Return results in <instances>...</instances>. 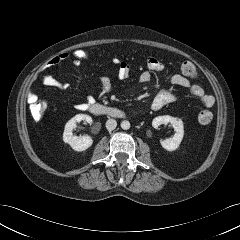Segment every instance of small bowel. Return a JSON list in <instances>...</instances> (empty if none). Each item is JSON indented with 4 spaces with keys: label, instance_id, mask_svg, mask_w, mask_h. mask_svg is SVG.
I'll use <instances>...</instances> for the list:
<instances>
[{
    "label": "small bowel",
    "instance_id": "small-bowel-1",
    "mask_svg": "<svg viewBox=\"0 0 240 240\" xmlns=\"http://www.w3.org/2000/svg\"><path fill=\"white\" fill-rule=\"evenodd\" d=\"M67 60L66 53H60L49 60L47 66H54L62 63ZM113 64L117 67V78L120 81L126 80L130 75V66L128 63L115 59ZM146 70L141 72L139 75V81L142 83H147L151 80L152 72H162L165 69L164 64L156 59L155 57H148L146 60ZM41 82L47 86L55 87L59 89H66L69 84L65 81H61L52 75L42 72L39 75ZM171 83L176 87L187 88L190 94L194 97L200 99L202 104L210 108L215 103V98L205 93L204 89L197 83L192 82L187 76L182 74H174L171 77ZM100 85L102 90V95L109 93L113 88V83L110 77L102 76L100 78ZM38 99L37 94L30 90L27 95L28 102L36 101ZM177 99L176 93L172 89H163L159 91L154 97L151 107L153 110L158 111L162 109L167 104L175 101ZM95 99L92 96H89L85 102L75 104V108L77 110H86L93 103Z\"/></svg>",
    "mask_w": 240,
    "mask_h": 240
}]
</instances>
